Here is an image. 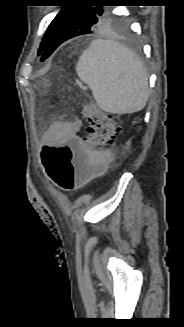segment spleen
<instances>
[{"label": "spleen", "instance_id": "1", "mask_svg": "<svg viewBox=\"0 0 184 327\" xmlns=\"http://www.w3.org/2000/svg\"><path fill=\"white\" fill-rule=\"evenodd\" d=\"M76 73L92 91L97 105L109 113H134L149 97L148 76L140 59L124 45L96 39L83 51Z\"/></svg>", "mask_w": 184, "mask_h": 327}]
</instances>
